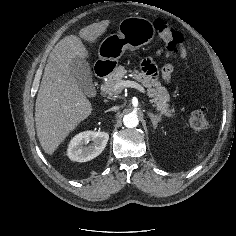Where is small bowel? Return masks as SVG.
Segmentation results:
<instances>
[{
    "mask_svg": "<svg viewBox=\"0 0 236 236\" xmlns=\"http://www.w3.org/2000/svg\"><path fill=\"white\" fill-rule=\"evenodd\" d=\"M159 54H162L161 52ZM185 51L182 50L181 51V56L185 57ZM142 68L144 70V72L148 75V76H155L156 75V68L154 66L153 60L152 59H146L142 62ZM173 66L171 64H166L162 67L161 69V76L165 81H169L171 79L172 73H173Z\"/></svg>",
    "mask_w": 236,
    "mask_h": 236,
    "instance_id": "c3829d8e",
    "label": "small bowel"
}]
</instances>
